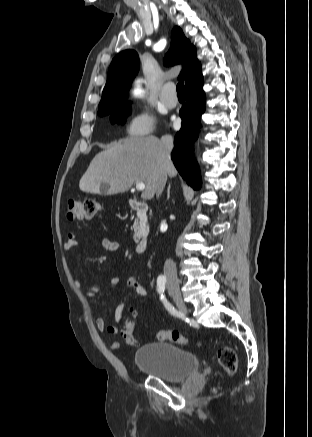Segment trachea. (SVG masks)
<instances>
[{"mask_svg":"<svg viewBox=\"0 0 312 437\" xmlns=\"http://www.w3.org/2000/svg\"><path fill=\"white\" fill-rule=\"evenodd\" d=\"M178 96H184V83L179 82L176 86Z\"/></svg>","mask_w":312,"mask_h":437,"instance_id":"1","label":"trachea"}]
</instances>
